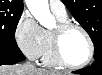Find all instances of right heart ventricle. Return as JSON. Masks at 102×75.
<instances>
[{
	"label": "right heart ventricle",
	"mask_w": 102,
	"mask_h": 75,
	"mask_svg": "<svg viewBox=\"0 0 102 75\" xmlns=\"http://www.w3.org/2000/svg\"><path fill=\"white\" fill-rule=\"evenodd\" d=\"M55 16L58 22L67 21V15L60 16L58 14H55ZM42 31H43V37H44V48H43V54H42L43 63L47 66L57 65V62L53 59V56H52L51 37H50L51 31L49 30H42Z\"/></svg>",
	"instance_id": "1"
}]
</instances>
